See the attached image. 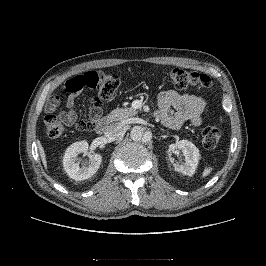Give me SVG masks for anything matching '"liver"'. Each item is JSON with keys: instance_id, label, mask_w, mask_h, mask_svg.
<instances>
[{"instance_id": "6515ba94", "label": "liver", "mask_w": 266, "mask_h": 266, "mask_svg": "<svg viewBox=\"0 0 266 266\" xmlns=\"http://www.w3.org/2000/svg\"><path fill=\"white\" fill-rule=\"evenodd\" d=\"M38 150H39V153H40V157H41V160H42V163L44 165V167L47 169V160H46V154H45V151H44V148L41 144L40 141H38Z\"/></svg>"}]
</instances>
